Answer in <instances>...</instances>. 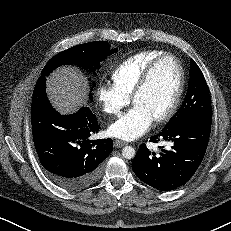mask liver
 Here are the masks:
<instances>
[{"instance_id": "6515ba94", "label": "liver", "mask_w": 231, "mask_h": 231, "mask_svg": "<svg viewBox=\"0 0 231 231\" xmlns=\"http://www.w3.org/2000/svg\"><path fill=\"white\" fill-rule=\"evenodd\" d=\"M47 93L59 112H74L86 103V78L74 68L62 67L47 80Z\"/></svg>"}]
</instances>
